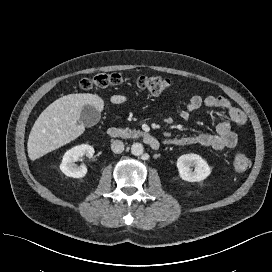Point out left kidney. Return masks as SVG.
Wrapping results in <instances>:
<instances>
[{
    "mask_svg": "<svg viewBox=\"0 0 272 272\" xmlns=\"http://www.w3.org/2000/svg\"><path fill=\"white\" fill-rule=\"evenodd\" d=\"M193 166L195 167L194 170L191 168ZM177 168L181 179L188 182L202 181L211 173L207 162L194 153L181 155L177 160Z\"/></svg>",
    "mask_w": 272,
    "mask_h": 272,
    "instance_id": "obj_1",
    "label": "left kidney"
}]
</instances>
